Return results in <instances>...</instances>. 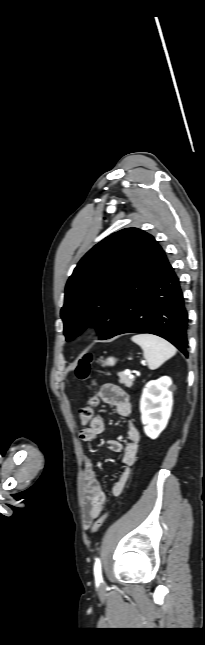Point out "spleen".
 <instances>
[{
	"label": "spleen",
	"instance_id": "1",
	"mask_svg": "<svg viewBox=\"0 0 205 645\" xmlns=\"http://www.w3.org/2000/svg\"><path fill=\"white\" fill-rule=\"evenodd\" d=\"M131 339L143 349L144 358L151 370L159 368L176 354V348L172 344L156 335L138 334Z\"/></svg>",
	"mask_w": 205,
	"mask_h": 645
}]
</instances>
